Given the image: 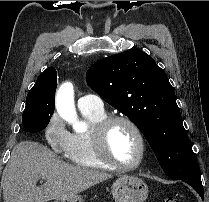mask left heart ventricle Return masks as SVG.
Instances as JSON below:
<instances>
[{
	"instance_id": "left-heart-ventricle-1",
	"label": "left heart ventricle",
	"mask_w": 209,
	"mask_h": 202,
	"mask_svg": "<svg viewBox=\"0 0 209 202\" xmlns=\"http://www.w3.org/2000/svg\"><path fill=\"white\" fill-rule=\"evenodd\" d=\"M111 157L124 165L135 164L139 158V139L133 129L122 122L114 124L107 136Z\"/></svg>"
}]
</instances>
